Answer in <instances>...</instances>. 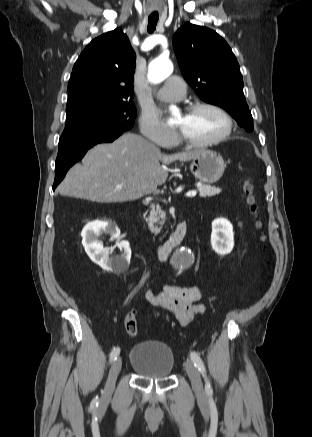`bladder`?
I'll list each match as a JSON object with an SVG mask.
<instances>
[{"instance_id":"1","label":"bladder","mask_w":312,"mask_h":437,"mask_svg":"<svg viewBox=\"0 0 312 437\" xmlns=\"http://www.w3.org/2000/svg\"><path fill=\"white\" fill-rule=\"evenodd\" d=\"M131 369L149 379L168 378L175 366L172 349L162 341L148 340L134 345L129 353Z\"/></svg>"}]
</instances>
